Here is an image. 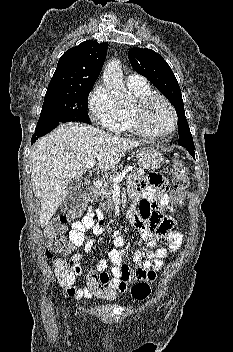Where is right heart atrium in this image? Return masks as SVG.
<instances>
[{
	"label": "right heart atrium",
	"instance_id": "1",
	"mask_svg": "<svg viewBox=\"0 0 233 352\" xmlns=\"http://www.w3.org/2000/svg\"><path fill=\"white\" fill-rule=\"evenodd\" d=\"M89 106L92 117L98 125L110 132L120 131L122 107L104 85L98 84L93 88Z\"/></svg>",
	"mask_w": 233,
	"mask_h": 352
}]
</instances>
